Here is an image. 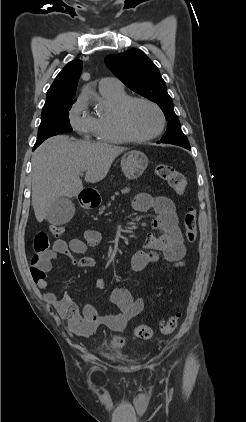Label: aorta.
<instances>
[{"mask_svg": "<svg viewBox=\"0 0 246 422\" xmlns=\"http://www.w3.org/2000/svg\"><path fill=\"white\" fill-rule=\"evenodd\" d=\"M86 95H87V97H88V98H90V99H93V98L95 97L94 93H93V92H90V91H87V92H86Z\"/></svg>", "mask_w": 246, "mask_h": 422, "instance_id": "aorta-1", "label": "aorta"}]
</instances>
